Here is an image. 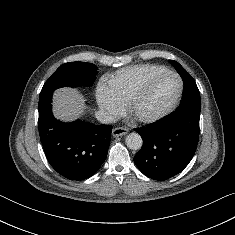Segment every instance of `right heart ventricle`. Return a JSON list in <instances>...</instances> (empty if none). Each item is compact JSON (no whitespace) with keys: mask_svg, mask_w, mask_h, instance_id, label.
<instances>
[{"mask_svg":"<svg viewBox=\"0 0 235 235\" xmlns=\"http://www.w3.org/2000/svg\"><path fill=\"white\" fill-rule=\"evenodd\" d=\"M160 65L139 64L122 68L105 79V85L114 99L126 106L144 82L152 75L166 71Z\"/></svg>","mask_w":235,"mask_h":235,"instance_id":"right-heart-ventricle-1","label":"right heart ventricle"}]
</instances>
